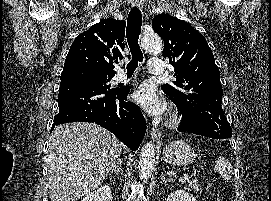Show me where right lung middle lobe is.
<instances>
[{
    "instance_id": "obj_1",
    "label": "right lung middle lobe",
    "mask_w": 271,
    "mask_h": 201,
    "mask_svg": "<svg viewBox=\"0 0 271 201\" xmlns=\"http://www.w3.org/2000/svg\"><path fill=\"white\" fill-rule=\"evenodd\" d=\"M113 76L114 75L79 70L75 72L73 75L68 73H62L61 81L67 78H73L87 86H95L111 90L110 88L111 85L108 84V82L113 78Z\"/></svg>"
}]
</instances>
